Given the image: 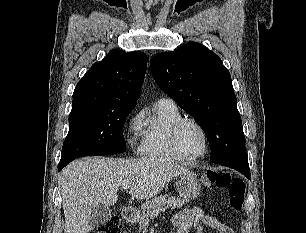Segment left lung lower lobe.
Listing matches in <instances>:
<instances>
[{
  "label": "left lung lower lobe",
  "instance_id": "left-lung-lower-lobe-1",
  "mask_svg": "<svg viewBox=\"0 0 306 233\" xmlns=\"http://www.w3.org/2000/svg\"><path fill=\"white\" fill-rule=\"evenodd\" d=\"M219 164L230 167V168H233V169L241 172L248 179H250V170H249L248 159L225 161V162H221Z\"/></svg>",
  "mask_w": 306,
  "mask_h": 233
}]
</instances>
